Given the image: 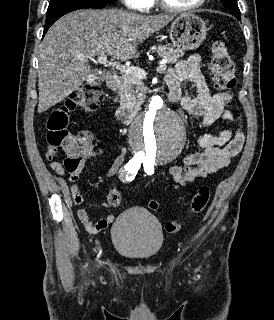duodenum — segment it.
Segmentation results:
<instances>
[{
	"instance_id": "410a0bca",
	"label": "duodenum",
	"mask_w": 274,
	"mask_h": 320,
	"mask_svg": "<svg viewBox=\"0 0 274 320\" xmlns=\"http://www.w3.org/2000/svg\"><path fill=\"white\" fill-rule=\"evenodd\" d=\"M121 83V77L119 74H111L107 78L108 87L111 90H117ZM169 101L176 103L179 101V95L176 92H171L169 94ZM138 114L137 109L123 108L117 112V119L120 123H130Z\"/></svg>"
}]
</instances>
